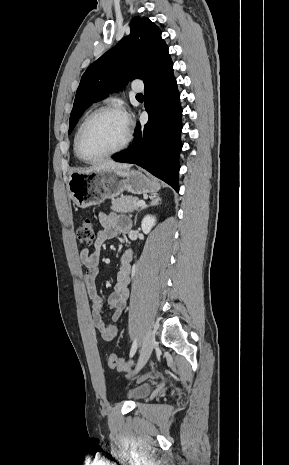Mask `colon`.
<instances>
[{
	"label": "colon",
	"instance_id": "obj_1",
	"mask_svg": "<svg viewBox=\"0 0 289 465\" xmlns=\"http://www.w3.org/2000/svg\"><path fill=\"white\" fill-rule=\"evenodd\" d=\"M77 239L81 244L91 245L95 242L94 223L91 219L82 220L77 228ZM108 366L111 369L122 370L125 368V360L115 354L108 356Z\"/></svg>",
	"mask_w": 289,
	"mask_h": 465
}]
</instances>
